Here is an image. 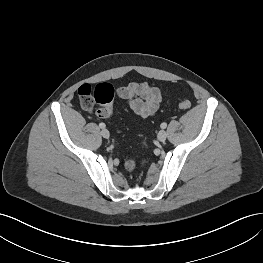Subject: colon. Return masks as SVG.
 <instances>
[{
  "instance_id": "obj_1",
  "label": "colon",
  "mask_w": 263,
  "mask_h": 263,
  "mask_svg": "<svg viewBox=\"0 0 263 263\" xmlns=\"http://www.w3.org/2000/svg\"><path fill=\"white\" fill-rule=\"evenodd\" d=\"M78 100L80 105L86 109L92 108L95 104L101 105L97 110V114L102 118H107L111 115V109L108 106L114 97V89L110 84L102 83L93 88L89 84L81 85L77 90ZM179 107L188 109L191 107L189 100L179 102ZM146 157L131 158L125 161V169L129 172L137 171L147 164Z\"/></svg>"
}]
</instances>
